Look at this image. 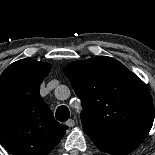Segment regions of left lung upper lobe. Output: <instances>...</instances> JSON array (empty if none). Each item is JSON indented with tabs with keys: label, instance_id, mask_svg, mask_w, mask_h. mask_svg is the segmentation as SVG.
I'll return each mask as SVG.
<instances>
[{
	"label": "left lung upper lobe",
	"instance_id": "1",
	"mask_svg": "<svg viewBox=\"0 0 155 155\" xmlns=\"http://www.w3.org/2000/svg\"><path fill=\"white\" fill-rule=\"evenodd\" d=\"M64 73L81 99L83 130L93 141L147 136L155 116L151 94L122 63L98 56L72 62Z\"/></svg>",
	"mask_w": 155,
	"mask_h": 155
}]
</instances>
